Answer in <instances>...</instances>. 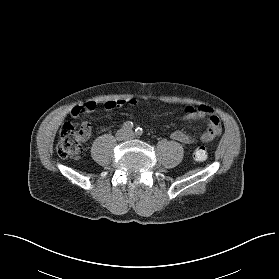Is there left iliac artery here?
<instances>
[{"label": "left iliac artery", "mask_w": 279, "mask_h": 279, "mask_svg": "<svg viewBox=\"0 0 279 279\" xmlns=\"http://www.w3.org/2000/svg\"><path fill=\"white\" fill-rule=\"evenodd\" d=\"M142 133H143V129L142 128H140V127H138V128H136V130H135V134L136 135H142Z\"/></svg>", "instance_id": "1"}]
</instances>
